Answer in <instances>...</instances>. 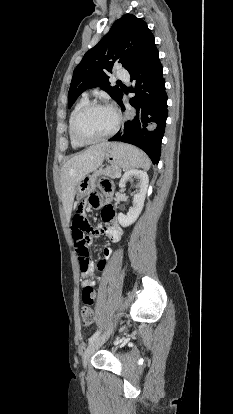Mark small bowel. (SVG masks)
<instances>
[{"mask_svg":"<svg viewBox=\"0 0 233 414\" xmlns=\"http://www.w3.org/2000/svg\"><path fill=\"white\" fill-rule=\"evenodd\" d=\"M111 191V190H110ZM109 193V192H108ZM106 192H102V194H108ZM101 201V195L95 194L90 199V205L88 209L92 207H98ZM102 219L104 221V225L98 229H96V233H102L107 235L113 242H118L122 235V229L120 228L116 217L115 212L112 207L107 206L102 211ZM73 233V230H72ZM104 258L98 263L97 267L99 270H103L106 266L107 260L111 256V250L105 249L103 252ZM81 275L83 277L82 287L85 288L86 286L94 287L95 285V275L93 272V266L91 264L90 268L86 271L81 270Z\"/></svg>","mask_w":233,"mask_h":414,"instance_id":"obj_1","label":"small bowel"}]
</instances>
